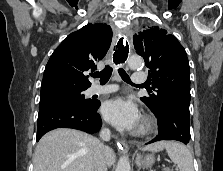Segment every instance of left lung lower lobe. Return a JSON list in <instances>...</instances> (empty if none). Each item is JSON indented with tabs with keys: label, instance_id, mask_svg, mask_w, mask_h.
I'll return each mask as SVG.
<instances>
[{
	"label": "left lung lower lobe",
	"instance_id": "left-lung-lower-lobe-1",
	"mask_svg": "<svg viewBox=\"0 0 223 171\" xmlns=\"http://www.w3.org/2000/svg\"><path fill=\"white\" fill-rule=\"evenodd\" d=\"M156 117L158 119L159 134L148 143L161 140H177L184 144L190 142L188 109L175 103H168Z\"/></svg>",
	"mask_w": 223,
	"mask_h": 171
}]
</instances>
